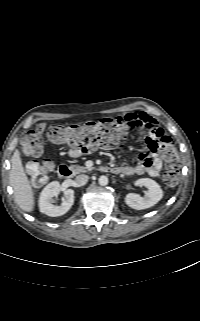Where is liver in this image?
<instances>
[{"mask_svg": "<svg viewBox=\"0 0 200 321\" xmlns=\"http://www.w3.org/2000/svg\"><path fill=\"white\" fill-rule=\"evenodd\" d=\"M11 163L9 182L14 191L15 202L22 210L32 212L35 203L34 193L22 165L19 150L14 152Z\"/></svg>", "mask_w": 200, "mask_h": 321, "instance_id": "6515ba94", "label": "liver"}]
</instances>
